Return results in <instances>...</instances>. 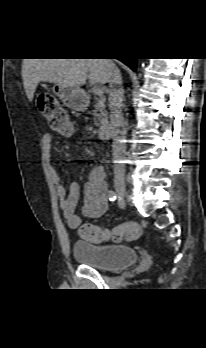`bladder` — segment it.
Instances as JSON below:
<instances>
[{"label": "bladder", "mask_w": 206, "mask_h": 348, "mask_svg": "<svg viewBox=\"0 0 206 348\" xmlns=\"http://www.w3.org/2000/svg\"><path fill=\"white\" fill-rule=\"evenodd\" d=\"M72 253L81 265L107 271L134 264L138 260L135 249L122 244L76 241L72 246Z\"/></svg>", "instance_id": "obj_1"}]
</instances>
